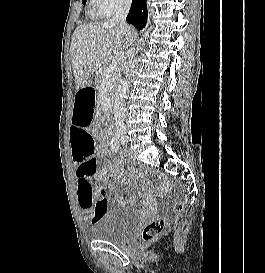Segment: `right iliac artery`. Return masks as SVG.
I'll return each mask as SVG.
<instances>
[{
	"instance_id": "82829eb1",
	"label": "right iliac artery",
	"mask_w": 265,
	"mask_h": 273,
	"mask_svg": "<svg viewBox=\"0 0 265 273\" xmlns=\"http://www.w3.org/2000/svg\"><path fill=\"white\" fill-rule=\"evenodd\" d=\"M121 128H117V133L115 134V137L111 141V150L114 152H117L119 150V137Z\"/></svg>"
}]
</instances>
